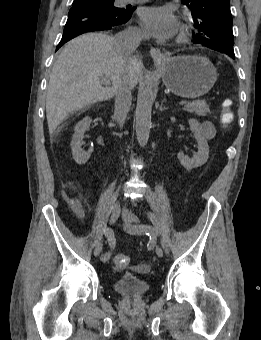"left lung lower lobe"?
Returning a JSON list of instances; mask_svg holds the SVG:
<instances>
[{"mask_svg": "<svg viewBox=\"0 0 261 340\" xmlns=\"http://www.w3.org/2000/svg\"><path fill=\"white\" fill-rule=\"evenodd\" d=\"M220 52H221V53H224L223 51H220ZM225 54H227V55H229L230 57H232L233 59H235L234 53L228 52V53H225Z\"/></svg>", "mask_w": 261, "mask_h": 340, "instance_id": "left-lung-lower-lobe-1", "label": "left lung lower lobe"}]
</instances>
